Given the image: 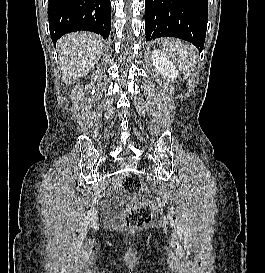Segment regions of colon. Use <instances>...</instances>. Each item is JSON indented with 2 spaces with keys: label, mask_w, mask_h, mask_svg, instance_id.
<instances>
[{
  "label": "colon",
  "mask_w": 265,
  "mask_h": 273,
  "mask_svg": "<svg viewBox=\"0 0 265 273\" xmlns=\"http://www.w3.org/2000/svg\"><path fill=\"white\" fill-rule=\"evenodd\" d=\"M123 188L130 200L122 210L121 224L132 228H144L150 225L154 210L152 205L141 196L143 184L139 175L135 173L125 175Z\"/></svg>",
  "instance_id": "obj_1"
}]
</instances>
